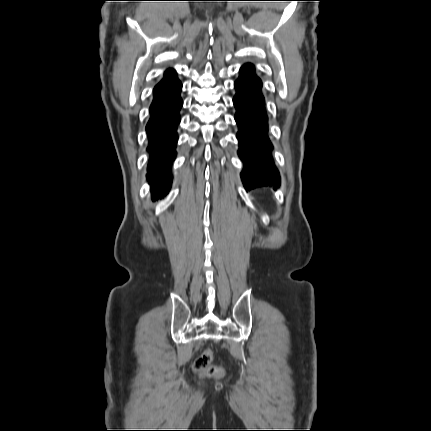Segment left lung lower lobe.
Returning a JSON list of instances; mask_svg holds the SVG:
<instances>
[{
	"label": "left lung lower lobe",
	"instance_id": "0a47b994",
	"mask_svg": "<svg viewBox=\"0 0 431 431\" xmlns=\"http://www.w3.org/2000/svg\"><path fill=\"white\" fill-rule=\"evenodd\" d=\"M235 120L238 125V154L244 163L241 173L245 189L280 186V176L273 158V145L268 137V124L262 95V81L254 66L244 65L235 82Z\"/></svg>",
	"mask_w": 431,
	"mask_h": 431
}]
</instances>
